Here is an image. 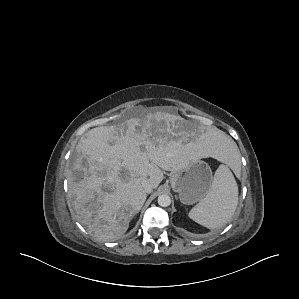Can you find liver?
<instances>
[{
    "instance_id": "obj_1",
    "label": "liver",
    "mask_w": 299,
    "mask_h": 299,
    "mask_svg": "<svg viewBox=\"0 0 299 299\" xmlns=\"http://www.w3.org/2000/svg\"><path fill=\"white\" fill-rule=\"evenodd\" d=\"M186 121L167 112L131 118L118 126H100L79 140L68 172L76 219L95 237L114 241L142 208V181L156 189L163 171L186 169L201 158L223 160L235 149L223 131L193 134ZM73 171L82 172L76 179Z\"/></svg>"
}]
</instances>
